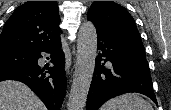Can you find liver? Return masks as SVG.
Returning a JSON list of instances; mask_svg holds the SVG:
<instances>
[{
    "mask_svg": "<svg viewBox=\"0 0 171 110\" xmlns=\"http://www.w3.org/2000/svg\"><path fill=\"white\" fill-rule=\"evenodd\" d=\"M0 110H46L42 101L21 82H0Z\"/></svg>",
    "mask_w": 171,
    "mask_h": 110,
    "instance_id": "1",
    "label": "liver"
}]
</instances>
